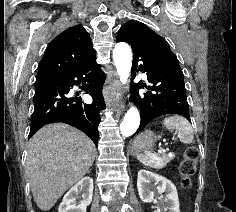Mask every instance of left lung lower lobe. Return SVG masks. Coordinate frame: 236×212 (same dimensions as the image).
Masks as SVG:
<instances>
[{"mask_svg":"<svg viewBox=\"0 0 236 212\" xmlns=\"http://www.w3.org/2000/svg\"><path fill=\"white\" fill-rule=\"evenodd\" d=\"M119 41L128 42L124 37H117L116 42ZM132 49V73L139 67L140 71L146 72L150 84L146 86L138 83L132 88V100L139 107L141 116L136 133L153 119L167 114L182 115L191 121L184 75L175 54L160 50ZM144 86L150 91L147 94H139V88Z\"/></svg>","mask_w":236,"mask_h":212,"instance_id":"1","label":"left lung lower lobe"}]
</instances>
